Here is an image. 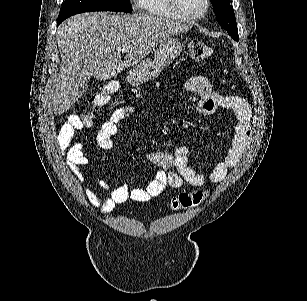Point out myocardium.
Segmentation results:
<instances>
[{
  "label": "myocardium",
  "mask_w": 307,
  "mask_h": 301,
  "mask_svg": "<svg viewBox=\"0 0 307 301\" xmlns=\"http://www.w3.org/2000/svg\"><path fill=\"white\" fill-rule=\"evenodd\" d=\"M179 0H168V12L171 13L170 17H175L176 22H200L201 17H205L207 13V0H202L203 5L201 10L196 8L194 11L192 10H177L176 3Z\"/></svg>",
  "instance_id": "obj_1"
}]
</instances>
